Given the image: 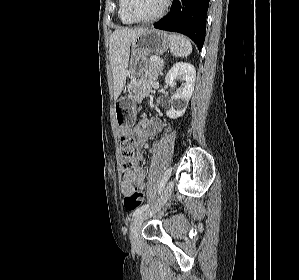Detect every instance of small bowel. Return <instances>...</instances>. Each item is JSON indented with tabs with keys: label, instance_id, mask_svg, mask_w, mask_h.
<instances>
[{
	"label": "small bowel",
	"instance_id": "obj_1",
	"mask_svg": "<svg viewBox=\"0 0 299 280\" xmlns=\"http://www.w3.org/2000/svg\"><path fill=\"white\" fill-rule=\"evenodd\" d=\"M162 130L163 125L161 121L156 118H153L148 121L145 127V133H142V136H138L134 156L136 166L131 170L123 172V178L120 187L124 196L130 195L135 190V187H137L141 191L144 190L146 174L144 169L139 165V162L142 159V151L146 141L149 138L156 136ZM122 134L124 136L129 135V130L123 129Z\"/></svg>",
	"mask_w": 299,
	"mask_h": 280
}]
</instances>
